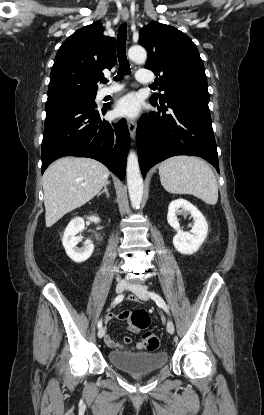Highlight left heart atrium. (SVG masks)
Returning a JSON list of instances; mask_svg holds the SVG:
<instances>
[{
    "label": "left heart atrium",
    "mask_w": 264,
    "mask_h": 415,
    "mask_svg": "<svg viewBox=\"0 0 264 415\" xmlns=\"http://www.w3.org/2000/svg\"><path fill=\"white\" fill-rule=\"evenodd\" d=\"M115 112L118 116L136 117L140 112V100L134 93L121 98L116 105Z\"/></svg>",
    "instance_id": "obj_1"
}]
</instances>
